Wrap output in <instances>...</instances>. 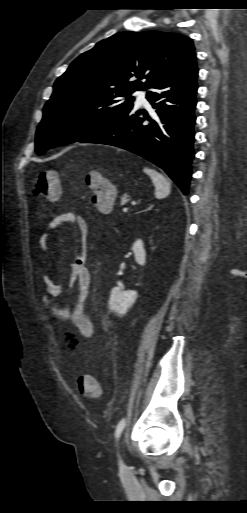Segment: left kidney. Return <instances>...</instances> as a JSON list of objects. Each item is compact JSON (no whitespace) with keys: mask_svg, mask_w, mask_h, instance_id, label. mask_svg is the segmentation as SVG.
Wrapping results in <instances>:
<instances>
[{"mask_svg":"<svg viewBox=\"0 0 247 513\" xmlns=\"http://www.w3.org/2000/svg\"><path fill=\"white\" fill-rule=\"evenodd\" d=\"M132 251L135 256V261L139 265H144L146 262V251L141 239L135 241L132 246ZM136 298L137 291H125L121 287H114L111 291L109 306L115 313L124 315L134 304Z\"/></svg>","mask_w":247,"mask_h":513,"instance_id":"left-kidney-1","label":"left kidney"}]
</instances>
